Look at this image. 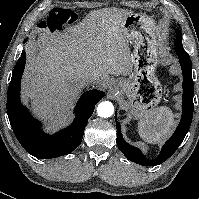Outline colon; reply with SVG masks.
<instances>
[{
  "label": "colon",
  "mask_w": 199,
  "mask_h": 199,
  "mask_svg": "<svg viewBox=\"0 0 199 199\" xmlns=\"http://www.w3.org/2000/svg\"><path fill=\"white\" fill-rule=\"evenodd\" d=\"M74 21V13L69 9H57L51 11L42 21V27L48 31H54L61 26L70 24Z\"/></svg>",
  "instance_id": "obj_1"
}]
</instances>
